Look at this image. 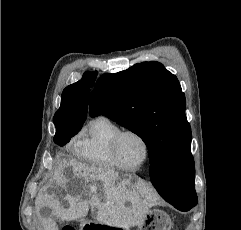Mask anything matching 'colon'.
<instances>
[{
	"label": "colon",
	"instance_id": "1",
	"mask_svg": "<svg viewBox=\"0 0 241 230\" xmlns=\"http://www.w3.org/2000/svg\"><path fill=\"white\" fill-rule=\"evenodd\" d=\"M63 230H75V229L72 227H65V228H63Z\"/></svg>",
	"mask_w": 241,
	"mask_h": 230
}]
</instances>
